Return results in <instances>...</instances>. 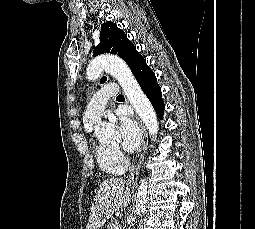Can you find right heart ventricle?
<instances>
[{"mask_svg": "<svg viewBox=\"0 0 255 229\" xmlns=\"http://www.w3.org/2000/svg\"><path fill=\"white\" fill-rule=\"evenodd\" d=\"M94 126L85 123L86 132L91 133ZM92 148L95 159L102 171L109 175H121L126 171L128 164L116 153V150L95 140L92 141Z\"/></svg>", "mask_w": 255, "mask_h": 229, "instance_id": "obj_1", "label": "right heart ventricle"}]
</instances>
